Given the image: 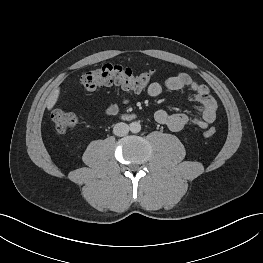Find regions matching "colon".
<instances>
[{
  "mask_svg": "<svg viewBox=\"0 0 263 263\" xmlns=\"http://www.w3.org/2000/svg\"><path fill=\"white\" fill-rule=\"evenodd\" d=\"M152 75L151 71L135 72L120 64L107 63L86 71L80 78V84L86 90L118 85L125 89L140 91L149 84ZM52 120L57 131L65 132L79 123V116L68 109L57 108L52 113ZM215 133L216 129L211 127L205 131V136L211 137Z\"/></svg>",
  "mask_w": 263,
  "mask_h": 263,
  "instance_id": "5ec220e1",
  "label": "colon"
}]
</instances>
